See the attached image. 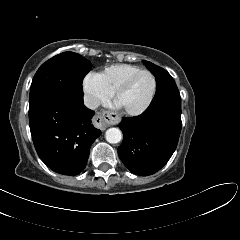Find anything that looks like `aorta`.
<instances>
[{
    "instance_id": "762f6f07",
    "label": "aorta",
    "mask_w": 240,
    "mask_h": 240,
    "mask_svg": "<svg viewBox=\"0 0 240 240\" xmlns=\"http://www.w3.org/2000/svg\"><path fill=\"white\" fill-rule=\"evenodd\" d=\"M107 142L116 144L122 139V132L118 128H109L105 133Z\"/></svg>"
}]
</instances>
